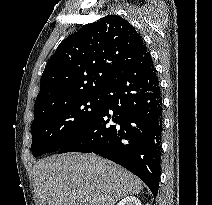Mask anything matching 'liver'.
<instances>
[{
    "label": "liver",
    "instance_id": "obj_1",
    "mask_svg": "<svg viewBox=\"0 0 212 205\" xmlns=\"http://www.w3.org/2000/svg\"><path fill=\"white\" fill-rule=\"evenodd\" d=\"M33 181L38 205H115L143 188L141 180L121 166L82 153L39 161Z\"/></svg>",
    "mask_w": 212,
    "mask_h": 205
}]
</instances>
